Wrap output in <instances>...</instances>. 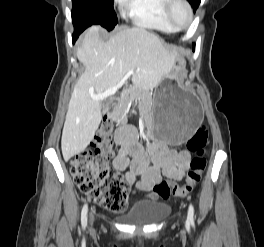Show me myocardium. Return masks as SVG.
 I'll return each instance as SVG.
<instances>
[{
  "instance_id": "myocardium-1",
  "label": "myocardium",
  "mask_w": 264,
  "mask_h": 247,
  "mask_svg": "<svg viewBox=\"0 0 264 247\" xmlns=\"http://www.w3.org/2000/svg\"><path fill=\"white\" fill-rule=\"evenodd\" d=\"M179 5L184 6L188 12L189 21L186 25H181L176 20L175 11H176L177 6ZM165 9H166V15H167L168 20L176 28V30H185L192 25L194 21V12L188 0H167Z\"/></svg>"
}]
</instances>
